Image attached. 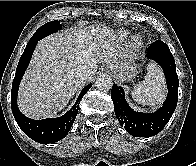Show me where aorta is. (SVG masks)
<instances>
[{"label":"aorta","instance_id":"1","mask_svg":"<svg viewBox=\"0 0 196 166\" xmlns=\"http://www.w3.org/2000/svg\"><path fill=\"white\" fill-rule=\"evenodd\" d=\"M113 81L110 75L101 74L96 78L95 86L99 90H109L112 88Z\"/></svg>","mask_w":196,"mask_h":166}]
</instances>
